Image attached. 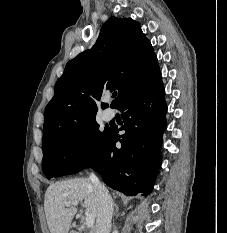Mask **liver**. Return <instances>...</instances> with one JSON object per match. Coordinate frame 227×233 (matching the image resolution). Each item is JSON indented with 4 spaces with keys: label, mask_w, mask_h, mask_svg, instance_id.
Instances as JSON below:
<instances>
[{
    "label": "liver",
    "mask_w": 227,
    "mask_h": 233,
    "mask_svg": "<svg viewBox=\"0 0 227 233\" xmlns=\"http://www.w3.org/2000/svg\"><path fill=\"white\" fill-rule=\"evenodd\" d=\"M83 202L85 212L98 215V199L89 178H74L51 184L44 199V210L50 233H68L77 213L75 206L65 207L66 202Z\"/></svg>",
    "instance_id": "1"
}]
</instances>
